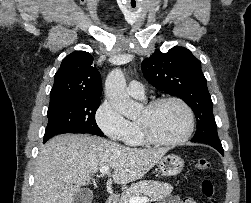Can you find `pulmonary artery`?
<instances>
[{"instance_id":"1","label":"pulmonary artery","mask_w":251,"mask_h":203,"mask_svg":"<svg viewBox=\"0 0 251 203\" xmlns=\"http://www.w3.org/2000/svg\"><path fill=\"white\" fill-rule=\"evenodd\" d=\"M129 94L137 99H143L145 97V89L141 82L137 80L130 81L128 85Z\"/></svg>"}]
</instances>
